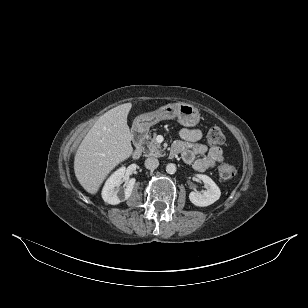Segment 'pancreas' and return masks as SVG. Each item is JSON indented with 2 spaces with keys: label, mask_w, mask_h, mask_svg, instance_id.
Returning <instances> with one entry per match:
<instances>
[{
  "label": "pancreas",
  "mask_w": 308,
  "mask_h": 308,
  "mask_svg": "<svg viewBox=\"0 0 308 308\" xmlns=\"http://www.w3.org/2000/svg\"><path fill=\"white\" fill-rule=\"evenodd\" d=\"M145 145L146 147L144 148L143 152L146 156H163V150L161 149V145L155 140V134L154 137L148 136V140L146 141Z\"/></svg>",
  "instance_id": "cf45deb5"
}]
</instances>
